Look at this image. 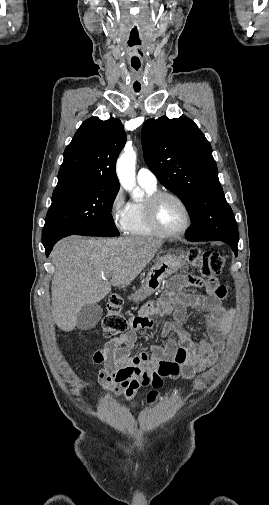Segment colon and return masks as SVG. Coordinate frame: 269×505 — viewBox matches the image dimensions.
Listing matches in <instances>:
<instances>
[{
    "label": "colon",
    "instance_id": "obj_1",
    "mask_svg": "<svg viewBox=\"0 0 269 505\" xmlns=\"http://www.w3.org/2000/svg\"><path fill=\"white\" fill-rule=\"evenodd\" d=\"M190 261L198 266V271L205 281H220L222 269L225 265V257L218 251H205L200 253L197 249L189 251ZM167 298V297H165ZM105 316L102 321V332L106 337H119L128 330V322L123 314V299L119 295L108 298L105 308ZM151 385L159 388L163 385V376L158 372L153 373ZM156 392L152 391L148 399L154 400Z\"/></svg>",
    "mask_w": 269,
    "mask_h": 505
}]
</instances>
